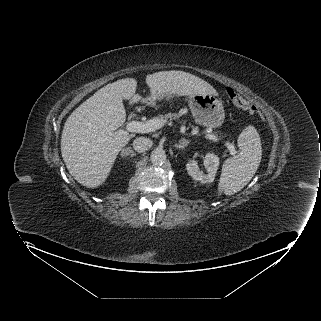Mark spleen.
I'll use <instances>...</instances> for the list:
<instances>
[{"label":"spleen","instance_id":"1","mask_svg":"<svg viewBox=\"0 0 321 321\" xmlns=\"http://www.w3.org/2000/svg\"><path fill=\"white\" fill-rule=\"evenodd\" d=\"M239 152L224 161L218 184V194L233 195L246 186L261 162V139L257 130L249 125L238 137Z\"/></svg>","mask_w":321,"mask_h":321}]
</instances>
